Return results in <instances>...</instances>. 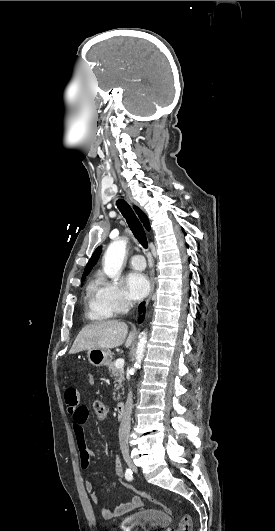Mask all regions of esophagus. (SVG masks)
I'll list each match as a JSON object with an SVG mask.
<instances>
[{
  "instance_id": "1",
  "label": "esophagus",
  "mask_w": 275,
  "mask_h": 531,
  "mask_svg": "<svg viewBox=\"0 0 275 531\" xmlns=\"http://www.w3.org/2000/svg\"><path fill=\"white\" fill-rule=\"evenodd\" d=\"M153 292H154V279H153V277H151L150 278V292H149V296H148V298L146 300V305L149 303Z\"/></svg>"
}]
</instances>
